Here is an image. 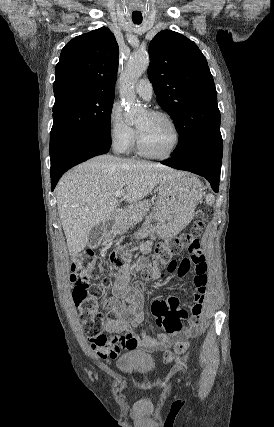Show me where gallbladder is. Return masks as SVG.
<instances>
[{
    "instance_id": "obj_1",
    "label": "gallbladder",
    "mask_w": 274,
    "mask_h": 427,
    "mask_svg": "<svg viewBox=\"0 0 274 427\" xmlns=\"http://www.w3.org/2000/svg\"><path fill=\"white\" fill-rule=\"evenodd\" d=\"M104 225L103 223H99L93 229H90L88 245L89 247H98L99 243H101V239L103 237Z\"/></svg>"
}]
</instances>
